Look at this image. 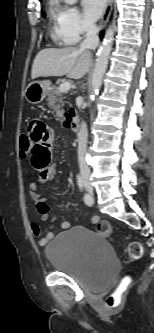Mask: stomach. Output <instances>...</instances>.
<instances>
[{"mask_svg": "<svg viewBox=\"0 0 154 333\" xmlns=\"http://www.w3.org/2000/svg\"><path fill=\"white\" fill-rule=\"evenodd\" d=\"M48 83L33 81L25 89V98L31 104L41 103L48 94Z\"/></svg>", "mask_w": 154, "mask_h": 333, "instance_id": "0dacf381", "label": "stomach"}]
</instances>
